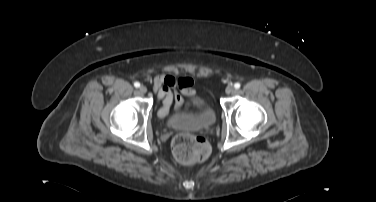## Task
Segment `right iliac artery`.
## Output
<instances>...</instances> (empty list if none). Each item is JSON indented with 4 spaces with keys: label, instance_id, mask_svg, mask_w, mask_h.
<instances>
[{
    "label": "right iliac artery",
    "instance_id": "1",
    "mask_svg": "<svg viewBox=\"0 0 376 202\" xmlns=\"http://www.w3.org/2000/svg\"><path fill=\"white\" fill-rule=\"evenodd\" d=\"M134 86H135L136 88H138V87L140 86V83H139V82H135V83H134Z\"/></svg>",
    "mask_w": 376,
    "mask_h": 202
}]
</instances>
